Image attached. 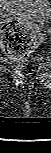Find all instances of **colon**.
<instances>
[{"label":"colon","instance_id":"5ec220e1","mask_svg":"<svg viewBox=\"0 0 51 153\" xmlns=\"http://www.w3.org/2000/svg\"><path fill=\"white\" fill-rule=\"evenodd\" d=\"M36 44L34 32L20 21H9L3 26L2 45L5 53L19 61L29 55Z\"/></svg>","mask_w":51,"mask_h":153}]
</instances>
